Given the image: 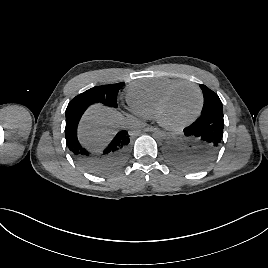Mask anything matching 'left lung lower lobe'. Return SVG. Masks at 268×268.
<instances>
[{
	"label": "left lung lower lobe",
	"instance_id": "1",
	"mask_svg": "<svg viewBox=\"0 0 268 268\" xmlns=\"http://www.w3.org/2000/svg\"><path fill=\"white\" fill-rule=\"evenodd\" d=\"M223 114L200 116L166 147L167 162L177 169H199L212 163L223 142Z\"/></svg>",
	"mask_w": 268,
	"mask_h": 268
}]
</instances>
